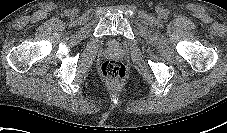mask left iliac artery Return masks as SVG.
<instances>
[{"label":"left iliac artery","instance_id":"left-iliac-artery-1","mask_svg":"<svg viewBox=\"0 0 227 133\" xmlns=\"http://www.w3.org/2000/svg\"><path fill=\"white\" fill-rule=\"evenodd\" d=\"M166 14L168 15L169 14V11H166Z\"/></svg>","mask_w":227,"mask_h":133}]
</instances>
